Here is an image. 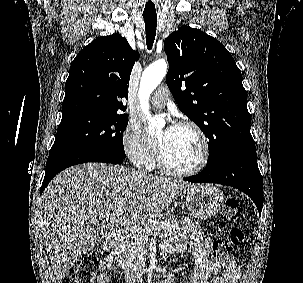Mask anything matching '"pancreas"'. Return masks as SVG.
Returning <instances> with one entry per match:
<instances>
[{
	"mask_svg": "<svg viewBox=\"0 0 303 283\" xmlns=\"http://www.w3.org/2000/svg\"><path fill=\"white\" fill-rule=\"evenodd\" d=\"M166 225H159V237L165 239L173 235L179 229V222L174 215H170L164 220ZM155 228L150 225H130L125 227L118 243L115 245L114 254L119 260L120 265L129 270L144 263V249L150 232L149 229Z\"/></svg>",
	"mask_w": 303,
	"mask_h": 283,
	"instance_id": "1",
	"label": "pancreas"
}]
</instances>
